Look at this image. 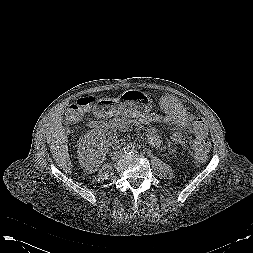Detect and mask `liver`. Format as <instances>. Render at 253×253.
Wrapping results in <instances>:
<instances>
[{
    "mask_svg": "<svg viewBox=\"0 0 253 253\" xmlns=\"http://www.w3.org/2000/svg\"><path fill=\"white\" fill-rule=\"evenodd\" d=\"M170 98H164L167 100ZM63 108H58L50 117L47 124L46 137L56 164L66 173L72 172V163L68 153L67 135L62 125Z\"/></svg>",
    "mask_w": 253,
    "mask_h": 253,
    "instance_id": "1",
    "label": "liver"
}]
</instances>
